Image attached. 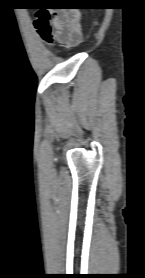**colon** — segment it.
I'll use <instances>...</instances> for the list:
<instances>
[{
	"label": "colon",
	"mask_w": 145,
	"mask_h": 278,
	"mask_svg": "<svg viewBox=\"0 0 145 278\" xmlns=\"http://www.w3.org/2000/svg\"><path fill=\"white\" fill-rule=\"evenodd\" d=\"M64 8L68 10H85L88 8L87 5L83 3H71L65 2L58 6H40L37 9L35 14L36 18L34 21V25L44 41H50L53 31H54V18L52 15V11L54 8Z\"/></svg>",
	"instance_id": "1"
}]
</instances>
